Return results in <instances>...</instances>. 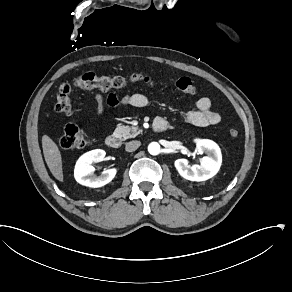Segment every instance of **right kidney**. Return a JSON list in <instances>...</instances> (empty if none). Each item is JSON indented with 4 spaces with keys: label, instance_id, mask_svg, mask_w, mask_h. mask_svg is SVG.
Wrapping results in <instances>:
<instances>
[{
    "label": "right kidney",
    "instance_id": "right-kidney-1",
    "mask_svg": "<svg viewBox=\"0 0 292 292\" xmlns=\"http://www.w3.org/2000/svg\"><path fill=\"white\" fill-rule=\"evenodd\" d=\"M105 151L95 149L83 154L76 162L74 177L78 183L84 186L97 188L109 183L116 175V169H107L100 176L94 175L95 168L91 165L93 162L104 160Z\"/></svg>",
    "mask_w": 292,
    "mask_h": 292
}]
</instances>
